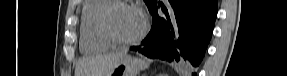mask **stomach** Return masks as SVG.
Masks as SVG:
<instances>
[{
    "instance_id": "stomach-1",
    "label": "stomach",
    "mask_w": 287,
    "mask_h": 76,
    "mask_svg": "<svg viewBox=\"0 0 287 76\" xmlns=\"http://www.w3.org/2000/svg\"><path fill=\"white\" fill-rule=\"evenodd\" d=\"M142 65L131 56H123L107 76H137Z\"/></svg>"
}]
</instances>
